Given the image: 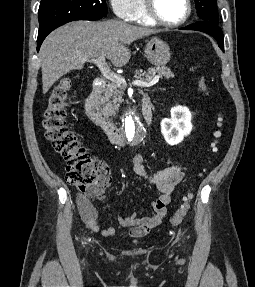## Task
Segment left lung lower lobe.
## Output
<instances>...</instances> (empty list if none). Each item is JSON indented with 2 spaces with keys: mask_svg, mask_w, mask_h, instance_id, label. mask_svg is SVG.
Returning <instances> with one entry per match:
<instances>
[{
  "mask_svg": "<svg viewBox=\"0 0 255 287\" xmlns=\"http://www.w3.org/2000/svg\"><path fill=\"white\" fill-rule=\"evenodd\" d=\"M183 30H196L205 32L211 36H213L217 41L219 47L224 50V35L221 28L218 26V23L212 21H199L189 26L180 28Z\"/></svg>",
  "mask_w": 255,
  "mask_h": 287,
  "instance_id": "1",
  "label": "left lung lower lobe"
}]
</instances>
